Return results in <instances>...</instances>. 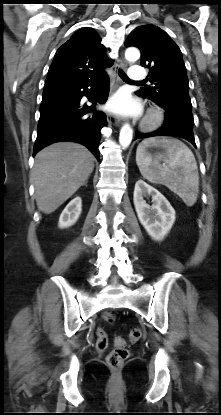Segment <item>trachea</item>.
Instances as JSON below:
<instances>
[{"label":"trachea","mask_w":221,"mask_h":415,"mask_svg":"<svg viewBox=\"0 0 221 415\" xmlns=\"http://www.w3.org/2000/svg\"><path fill=\"white\" fill-rule=\"evenodd\" d=\"M120 77H121V79L123 80V81H126V82H131L130 80H129V78H128V76L125 74V72L124 71H122V70H120ZM138 83H142V82H138Z\"/></svg>","instance_id":"trachea-1"}]
</instances>
